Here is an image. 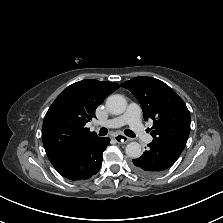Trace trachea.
Instances as JSON below:
<instances>
[{
  "label": "trachea",
  "mask_w": 223,
  "mask_h": 223,
  "mask_svg": "<svg viewBox=\"0 0 223 223\" xmlns=\"http://www.w3.org/2000/svg\"><path fill=\"white\" fill-rule=\"evenodd\" d=\"M107 133H108V130H107L106 128H101V129H100V132H99V135H100V136H105ZM124 133H125L127 136H129V137H135V134H134L131 130H129V129H126V130L124 131Z\"/></svg>",
  "instance_id": "1"
}]
</instances>
